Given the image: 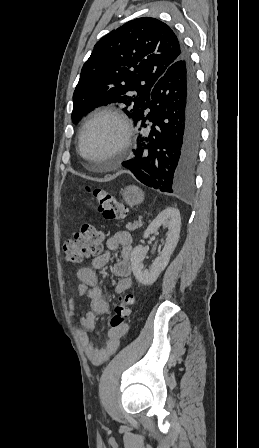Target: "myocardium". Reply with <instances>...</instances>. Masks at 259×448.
Here are the masks:
<instances>
[{"mask_svg":"<svg viewBox=\"0 0 259 448\" xmlns=\"http://www.w3.org/2000/svg\"><path fill=\"white\" fill-rule=\"evenodd\" d=\"M102 118H110L116 121L120 128V133L115 143L110 148V159L118 163L124 150L127 148L131 137V124L125 113L115 108H105L93 113L82 125L77 139V154L81 157V141L87 127L94 121ZM82 158V157H81Z\"/></svg>","mask_w":259,"mask_h":448,"instance_id":"myocardium-1","label":"myocardium"}]
</instances>
